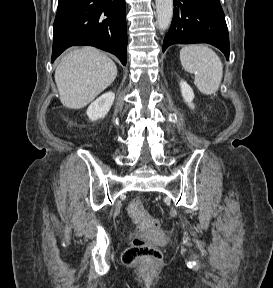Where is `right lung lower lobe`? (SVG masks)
Here are the masks:
<instances>
[{"mask_svg": "<svg viewBox=\"0 0 273 288\" xmlns=\"http://www.w3.org/2000/svg\"><path fill=\"white\" fill-rule=\"evenodd\" d=\"M125 0H59L53 31V62L66 48L91 45L126 65Z\"/></svg>", "mask_w": 273, "mask_h": 288, "instance_id": "1", "label": "right lung lower lobe"}]
</instances>
